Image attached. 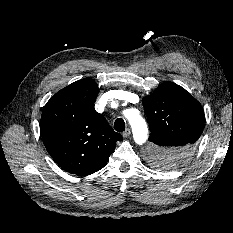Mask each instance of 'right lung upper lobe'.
Instances as JSON below:
<instances>
[{
  "label": "right lung upper lobe",
  "instance_id": "obj_1",
  "mask_svg": "<svg viewBox=\"0 0 233 233\" xmlns=\"http://www.w3.org/2000/svg\"><path fill=\"white\" fill-rule=\"evenodd\" d=\"M97 83L85 78L57 92L45 105L40 132L48 153L65 171L84 176L102 169L123 137L94 109Z\"/></svg>",
  "mask_w": 233,
  "mask_h": 233
}]
</instances>
